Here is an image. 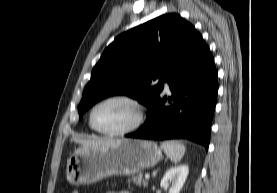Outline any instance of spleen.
Here are the masks:
<instances>
[{
  "instance_id": "3e777b00",
  "label": "spleen",
  "mask_w": 277,
  "mask_h": 193,
  "mask_svg": "<svg viewBox=\"0 0 277 193\" xmlns=\"http://www.w3.org/2000/svg\"><path fill=\"white\" fill-rule=\"evenodd\" d=\"M161 148L175 163L183 158L186 151V147L178 141H164L161 143Z\"/></svg>"
}]
</instances>
